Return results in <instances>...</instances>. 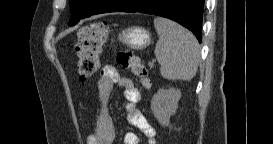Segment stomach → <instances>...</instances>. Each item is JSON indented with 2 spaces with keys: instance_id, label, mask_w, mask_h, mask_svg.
<instances>
[{
  "instance_id": "obj_1",
  "label": "stomach",
  "mask_w": 273,
  "mask_h": 144,
  "mask_svg": "<svg viewBox=\"0 0 273 144\" xmlns=\"http://www.w3.org/2000/svg\"><path fill=\"white\" fill-rule=\"evenodd\" d=\"M119 40L133 49H143L151 43V35L146 29L133 26L122 31Z\"/></svg>"
}]
</instances>
